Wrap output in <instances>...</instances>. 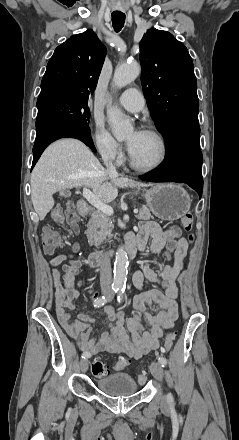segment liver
I'll list each match as a JSON object with an SVG mask.
<instances>
[{"label": "liver", "instance_id": "6515ba94", "mask_svg": "<svg viewBox=\"0 0 239 440\" xmlns=\"http://www.w3.org/2000/svg\"><path fill=\"white\" fill-rule=\"evenodd\" d=\"M117 176L109 174L91 150L79 140H58L46 148L31 174L34 210L40 220H44L54 206L53 194L67 188L87 186L101 202L108 204L117 198L118 188L152 186Z\"/></svg>", "mask_w": 239, "mask_h": 440}]
</instances>
